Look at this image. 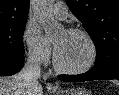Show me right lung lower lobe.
Listing matches in <instances>:
<instances>
[{
    "mask_svg": "<svg viewBox=\"0 0 119 95\" xmlns=\"http://www.w3.org/2000/svg\"><path fill=\"white\" fill-rule=\"evenodd\" d=\"M24 65V55L0 56V76H10L19 72Z\"/></svg>",
    "mask_w": 119,
    "mask_h": 95,
    "instance_id": "obj_1",
    "label": "right lung lower lobe"
}]
</instances>
